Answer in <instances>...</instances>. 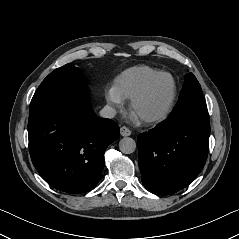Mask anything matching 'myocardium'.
I'll list each match as a JSON object with an SVG mask.
<instances>
[{"instance_id": "1", "label": "myocardium", "mask_w": 239, "mask_h": 239, "mask_svg": "<svg viewBox=\"0 0 239 239\" xmlns=\"http://www.w3.org/2000/svg\"><path fill=\"white\" fill-rule=\"evenodd\" d=\"M160 77H167L170 79L172 83V93L171 96L166 103V105L157 113L152 115L145 116L141 118V120L145 123H153L164 119L169 112L171 111L176 96H177V84L173 76L168 72H158L153 77H151L131 98L129 101V109L132 110L134 105L147 93L150 87L154 84V82L159 79Z\"/></svg>"}]
</instances>
